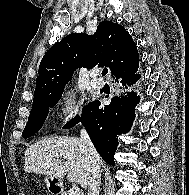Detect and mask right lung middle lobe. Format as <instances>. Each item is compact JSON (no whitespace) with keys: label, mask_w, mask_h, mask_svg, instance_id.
Returning a JSON list of instances; mask_svg holds the SVG:
<instances>
[{"label":"right lung middle lobe","mask_w":189,"mask_h":195,"mask_svg":"<svg viewBox=\"0 0 189 195\" xmlns=\"http://www.w3.org/2000/svg\"><path fill=\"white\" fill-rule=\"evenodd\" d=\"M62 93L63 92L57 93L33 103V108L29 115L28 123L26 124V127L22 133L23 138H28L41 129L48 115L49 108L53 107L59 101Z\"/></svg>","instance_id":"obj_1"}]
</instances>
